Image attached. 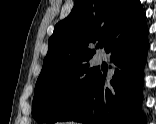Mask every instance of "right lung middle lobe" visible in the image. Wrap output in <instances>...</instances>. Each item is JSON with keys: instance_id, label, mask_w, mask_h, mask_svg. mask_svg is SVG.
<instances>
[{"instance_id": "dd1d6c3e", "label": "right lung middle lobe", "mask_w": 156, "mask_h": 124, "mask_svg": "<svg viewBox=\"0 0 156 124\" xmlns=\"http://www.w3.org/2000/svg\"><path fill=\"white\" fill-rule=\"evenodd\" d=\"M87 62L56 71L37 80L32 116L38 123L59 121L85 94L100 73Z\"/></svg>"}]
</instances>
